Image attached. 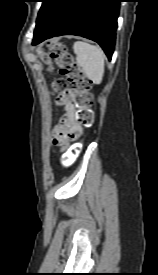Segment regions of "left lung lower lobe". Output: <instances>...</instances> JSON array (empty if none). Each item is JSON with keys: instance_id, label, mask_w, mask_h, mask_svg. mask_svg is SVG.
Instances as JSON below:
<instances>
[{"instance_id": "left-lung-lower-lobe-1", "label": "left lung lower lobe", "mask_w": 158, "mask_h": 275, "mask_svg": "<svg viewBox=\"0 0 158 275\" xmlns=\"http://www.w3.org/2000/svg\"><path fill=\"white\" fill-rule=\"evenodd\" d=\"M121 0H50L35 28L33 45L60 35H78L103 48L110 60L114 51Z\"/></svg>"}]
</instances>
